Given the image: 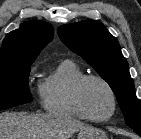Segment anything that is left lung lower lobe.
<instances>
[{
	"label": "left lung lower lobe",
	"instance_id": "obj_1",
	"mask_svg": "<svg viewBox=\"0 0 141 139\" xmlns=\"http://www.w3.org/2000/svg\"><path fill=\"white\" fill-rule=\"evenodd\" d=\"M141 137V131H135Z\"/></svg>",
	"mask_w": 141,
	"mask_h": 139
}]
</instances>
